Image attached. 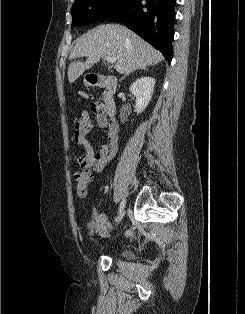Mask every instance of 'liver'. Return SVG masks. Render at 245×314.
I'll list each match as a JSON object with an SVG mask.
<instances>
[{"mask_svg":"<svg viewBox=\"0 0 245 314\" xmlns=\"http://www.w3.org/2000/svg\"><path fill=\"white\" fill-rule=\"evenodd\" d=\"M84 56L87 57L85 62L74 61L69 64V83H73L85 70L92 68L102 56L116 57L114 68L120 74L145 69L164 59L157 49L119 24L99 25L78 39L70 59Z\"/></svg>","mask_w":245,"mask_h":314,"instance_id":"obj_1","label":"liver"}]
</instances>
